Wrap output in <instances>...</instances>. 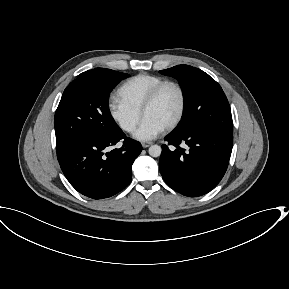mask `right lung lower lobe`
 I'll use <instances>...</instances> for the list:
<instances>
[{
	"instance_id": "obj_1",
	"label": "right lung lower lobe",
	"mask_w": 289,
	"mask_h": 289,
	"mask_svg": "<svg viewBox=\"0 0 289 289\" xmlns=\"http://www.w3.org/2000/svg\"><path fill=\"white\" fill-rule=\"evenodd\" d=\"M123 141L121 148L107 152L109 146ZM141 144L119 128L110 135L81 142L57 153L60 167L81 194L92 199L111 197L132 179V164L141 153Z\"/></svg>"
}]
</instances>
